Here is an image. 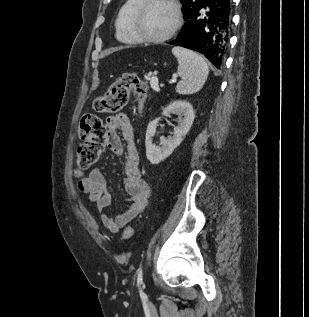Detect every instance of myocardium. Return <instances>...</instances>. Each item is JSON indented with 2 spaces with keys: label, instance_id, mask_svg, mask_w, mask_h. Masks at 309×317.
Wrapping results in <instances>:
<instances>
[{
  "label": "myocardium",
  "instance_id": "1",
  "mask_svg": "<svg viewBox=\"0 0 309 317\" xmlns=\"http://www.w3.org/2000/svg\"><path fill=\"white\" fill-rule=\"evenodd\" d=\"M154 3H166L170 5L175 13V23L173 27L166 34L158 37H152L145 35L139 29V22L144 14V12ZM183 24V14L180 4L177 0H142V2L133 11L130 19V27L132 33L139 40V42L144 43H162L171 39L181 28Z\"/></svg>",
  "mask_w": 309,
  "mask_h": 317
}]
</instances>
